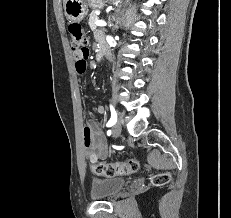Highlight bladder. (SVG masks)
I'll return each instance as SVG.
<instances>
[{
	"label": "bladder",
	"mask_w": 231,
	"mask_h": 218,
	"mask_svg": "<svg viewBox=\"0 0 231 218\" xmlns=\"http://www.w3.org/2000/svg\"><path fill=\"white\" fill-rule=\"evenodd\" d=\"M127 181L122 177L94 178L91 183L90 195L94 200H103L119 193Z\"/></svg>",
	"instance_id": "obj_1"
}]
</instances>
